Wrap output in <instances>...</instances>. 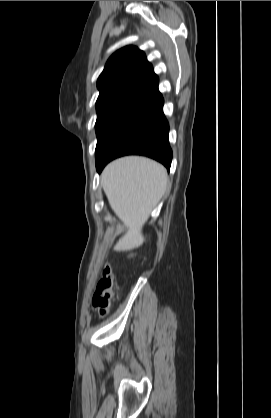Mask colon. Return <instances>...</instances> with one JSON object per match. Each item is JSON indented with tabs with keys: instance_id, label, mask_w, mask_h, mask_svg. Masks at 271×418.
Returning a JSON list of instances; mask_svg holds the SVG:
<instances>
[{
	"instance_id": "1",
	"label": "colon",
	"mask_w": 271,
	"mask_h": 418,
	"mask_svg": "<svg viewBox=\"0 0 271 418\" xmlns=\"http://www.w3.org/2000/svg\"><path fill=\"white\" fill-rule=\"evenodd\" d=\"M116 295L115 279L111 269L107 266L102 272L95 293L92 297L94 310L100 317L105 316Z\"/></svg>"
}]
</instances>
